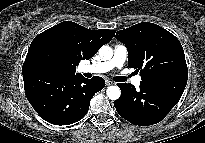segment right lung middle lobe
<instances>
[{
  "label": "right lung middle lobe",
  "instance_id": "obj_1",
  "mask_svg": "<svg viewBox=\"0 0 205 143\" xmlns=\"http://www.w3.org/2000/svg\"><path fill=\"white\" fill-rule=\"evenodd\" d=\"M32 64H39L71 73L75 67L72 51L59 39L46 37L32 42L26 56Z\"/></svg>",
  "mask_w": 205,
  "mask_h": 143
}]
</instances>
